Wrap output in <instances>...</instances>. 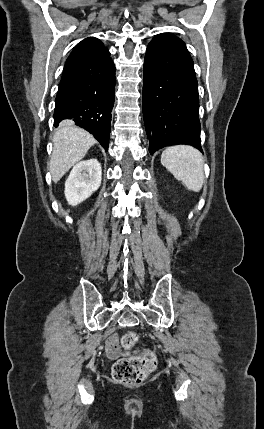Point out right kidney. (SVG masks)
Segmentation results:
<instances>
[{"label":"right kidney","mask_w":264,"mask_h":429,"mask_svg":"<svg viewBox=\"0 0 264 429\" xmlns=\"http://www.w3.org/2000/svg\"><path fill=\"white\" fill-rule=\"evenodd\" d=\"M102 168L97 159L78 162L65 182V197L69 205L76 206L89 198L101 185Z\"/></svg>","instance_id":"right-kidney-1"}]
</instances>
